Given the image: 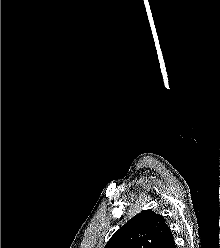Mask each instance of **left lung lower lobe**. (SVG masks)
<instances>
[{
	"label": "left lung lower lobe",
	"mask_w": 220,
	"mask_h": 248,
	"mask_svg": "<svg viewBox=\"0 0 220 248\" xmlns=\"http://www.w3.org/2000/svg\"><path fill=\"white\" fill-rule=\"evenodd\" d=\"M169 248H176L175 242L173 241L172 244L169 246Z\"/></svg>",
	"instance_id": "0a47b994"
}]
</instances>
